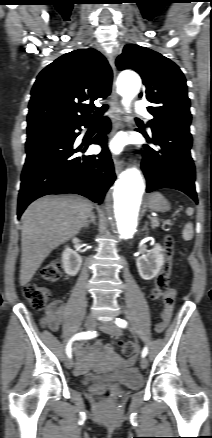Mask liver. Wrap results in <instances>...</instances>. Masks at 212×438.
Segmentation results:
<instances>
[{
	"mask_svg": "<svg viewBox=\"0 0 212 438\" xmlns=\"http://www.w3.org/2000/svg\"><path fill=\"white\" fill-rule=\"evenodd\" d=\"M92 210L90 200L74 195L42 197L28 206L22 215L21 286L55 248L80 232Z\"/></svg>",
	"mask_w": 212,
	"mask_h": 438,
	"instance_id": "liver-1",
	"label": "liver"
}]
</instances>
